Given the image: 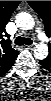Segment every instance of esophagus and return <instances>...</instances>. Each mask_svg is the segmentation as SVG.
<instances>
[{"label":"esophagus","instance_id":"esophagus-1","mask_svg":"<svg viewBox=\"0 0 51 101\" xmlns=\"http://www.w3.org/2000/svg\"><path fill=\"white\" fill-rule=\"evenodd\" d=\"M34 46H35V43H33V44H31V45H29V46H27V47L33 48Z\"/></svg>","mask_w":51,"mask_h":101}]
</instances>
